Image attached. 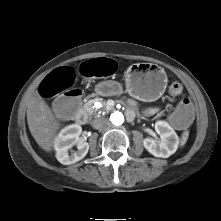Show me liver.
Masks as SVG:
<instances>
[{"mask_svg": "<svg viewBox=\"0 0 221 221\" xmlns=\"http://www.w3.org/2000/svg\"><path fill=\"white\" fill-rule=\"evenodd\" d=\"M27 122L31 135L37 144L45 151L53 148L60 122L53 114L51 108L36 94L29 99L27 105Z\"/></svg>", "mask_w": 221, "mask_h": 221, "instance_id": "obj_1", "label": "liver"}]
</instances>
